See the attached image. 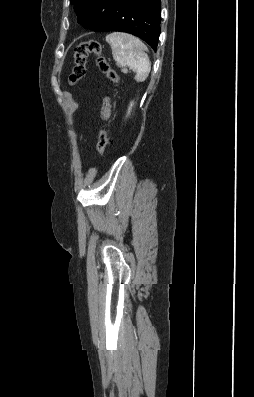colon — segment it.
Returning a JSON list of instances; mask_svg holds the SVG:
<instances>
[{
	"instance_id": "colon-1",
	"label": "colon",
	"mask_w": 254,
	"mask_h": 397,
	"mask_svg": "<svg viewBox=\"0 0 254 397\" xmlns=\"http://www.w3.org/2000/svg\"><path fill=\"white\" fill-rule=\"evenodd\" d=\"M91 54L96 57V62L101 72L117 86L119 84V76L110 67L107 59L103 56L101 43L96 40L82 42L75 48L74 66L68 77L69 84L76 85L85 77L87 72V58ZM108 143V130L107 128H104L99 133L96 146L99 157L103 156Z\"/></svg>"
}]
</instances>
